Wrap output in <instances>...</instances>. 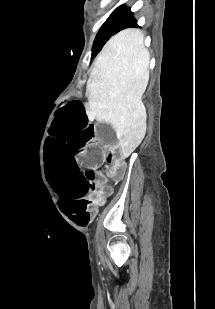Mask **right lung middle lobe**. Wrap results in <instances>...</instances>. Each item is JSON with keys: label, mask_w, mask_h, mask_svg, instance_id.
Wrapping results in <instances>:
<instances>
[{"label": "right lung middle lobe", "mask_w": 215, "mask_h": 309, "mask_svg": "<svg viewBox=\"0 0 215 309\" xmlns=\"http://www.w3.org/2000/svg\"><path fill=\"white\" fill-rule=\"evenodd\" d=\"M128 8L120 6L109 16L106 22L101 27L97 34L92 48V56H95L104 46L106 41L114 34L119 32L121 26V19L127 12Z\"/></svg>", "instance_id": "1"}]
</instances>
